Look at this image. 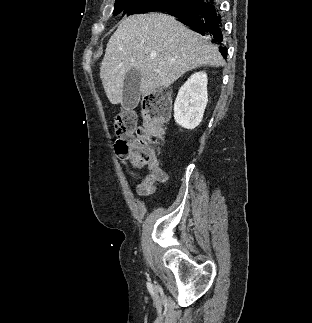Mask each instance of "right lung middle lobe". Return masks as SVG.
<instances>
[{
  "instance_id": "dd1d6c3e",
  "label": "right lung middle lobe",
  "mask_w": 312,
  "mask_h": 323,
  "mask_svg": "<svg viewBox=\"0 0 312 323\" xmlns=\"http://www.w3.org/2000/svg\"><path fill=\"white\" fill-rule=\"evenodd\" d=\"M190 0H116L113 15L166 11L183 6Z\"/></svg>"
}]
</instances>
